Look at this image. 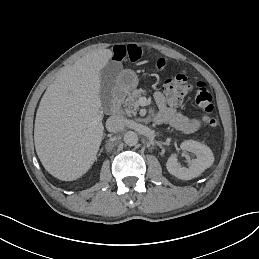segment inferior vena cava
Segmentation results:
<instances>
[{
	"label": "inferior vena cava",
	"mask_w": 259,
	"mask_h": 259,
	"mask_svg": "<svg viewBox=\"0 0 259 259\" xmlns=\"http://www.w3.org/2000/svg\"><path fill=\"white\" fill-rule=\"evenodd\" d=\"M125 127V118L121 115H112L106 121V128L114 133L121 132Z\"/></svg>",
	"instance_id": "602c4592"
}]
</instances>
